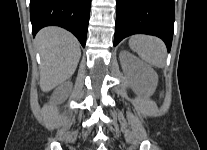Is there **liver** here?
Listing matches in <instances>:
<instances>
[{"mask_svg":"<svg viewBox=\"0 0 207 150\" xmlns=\"http://www.w3.org/2000/svg\"><path fill=\"white\" fill-rule=\"evenodd\" d=\"M41 55L40 88L48 92L75 72L81 50L78 40L59 27H46L36 35Z\"/></svg>","mask_w":207,"mask_h":150,"instance_id":"1","label":"liver"}]
</instances>
